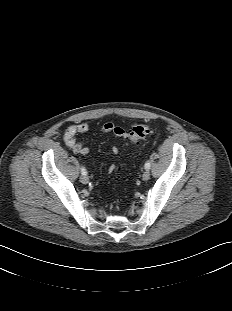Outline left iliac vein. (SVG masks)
<instances>
[{
    "label": "left iliac vein",
    "instance_id": "left-iliac-vein-1",
    "mask_svg": "<svg viewBox=\"0 0 232 311\" xmlns=\"http://www.w3.org/2000/svg\"><path fill=\"white\" fill-rule=\"evenodd\" d=\"M149 178H150V172H149V170H145L143 175H142V179L144 181H147V180H149Z\"/></svg>",
    "mask_w": 232,
    "mask_h": 311
}]
</instances>
